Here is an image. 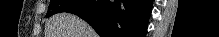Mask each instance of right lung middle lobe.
<instances>
[{
	"label": "right lung middle lobe",
	"instance_id": "1",
	"mask_svg": "<svg viewBox=\"0 0 219 37\" xmlns=\"http://www.w3.org/2000/svg\"><path fill=\"white\" fill-rule=\"evenodd\" d=\"M76 2H78V0H51L46 17H50L56 13L64 12L68 6Z\"/></svg>",
	"mask_w": 219,
	"mask_h": 37
}]
</instances>
